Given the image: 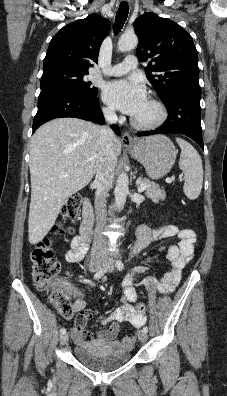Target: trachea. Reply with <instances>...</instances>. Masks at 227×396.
<instances>
[{
	"label": "trachea",
	"instance_id": "trachea-1",
	"mask_svg": "<svg viewBox=\"0 0 227 396\" xmlns=\"http://www.w3.org/2000/svg\"><path fill=\"white\" fill-rule=\"evenodd\" d=\"M129 13V6L127 2H121L116 18H115V27H114V33L117 34L118 32L121 31L123 25L125 24V21L128 17Z\"/></svg>",
	"mask_w": 227,
	"mask_h": 396
}]
</instances>
